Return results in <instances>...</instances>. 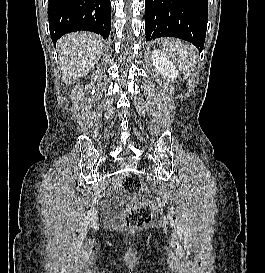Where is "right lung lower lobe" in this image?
I'll list each match as a JSON object with an SVG mask.
<instances>
[{"label":"right lung lower lobe","instance_id":"obj_1","mask_svg":"<svg viewBox=\"0 0 265 273\" xmlns=\"http://www.w3.org/2000/svg\"><path fill=\"white\" fill-rule=\"evenodd\" d=\"M110 0H49L48 20L51 39L79 30L108 38L111 30Z\"/></svg>","mask_w":265,"mask_h":273}]
</instances>
